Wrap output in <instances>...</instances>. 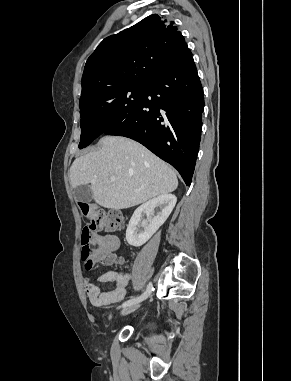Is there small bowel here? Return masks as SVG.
Here are the masks:
<instances>
[{"label": "small bowel", "instance_id": "obj_1", "mask_svg": "<svg viewBox=\"0 0 291 381\" xmlns=\"http://www.w3.org/2000/svg\"><path fill=\"white\" fill-rule=\"evenodd\" d=\"M97 246L96 257L100 258L104 253H110L117 249L119 239L114 235H101L94 233L91 239ZM130 280V275L117 270H108L99 275L98 281L102 283H113L114 287L106 292H101L100 288L89 278L84 280V290L90 302L94 306H105L120 302L126 295V286Z\"/></svg>", "mask_w": 291, "mask_h": 381}]
</instances>
